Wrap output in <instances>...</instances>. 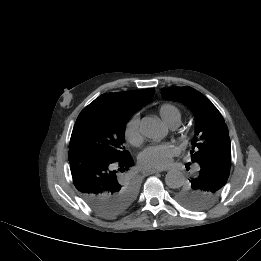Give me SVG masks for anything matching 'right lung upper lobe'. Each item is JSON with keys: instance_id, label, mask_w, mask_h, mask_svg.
<instances>
[{"instance_id": "obj_1", "label": "right lung upper lobe", "mask_w": 261, "mask_h": 261, "mask_svg": "<svg viewBox=\"0 0 261 261\" xmlns=\"http://www.w3.org/2000/svg\"><path fill=\"white\" fill-rule=\"evenodd\" d=\"M154 93L155 89L153 88L119 93H105L95 99V101L105 104L117 115L129 119L131 115L150 101Z\"/></svg>"}]
</instances>
